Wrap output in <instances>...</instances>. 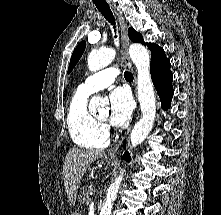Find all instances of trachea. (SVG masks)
Returning a JSON list of instances; mask_svg holds the SVG:
<instances>
[{"label":"trachea","mask_w":221,"mask_h":215,"mask_svg":"<svg viewBox=\"0 0 221 215\" xmlns=\"http://www.w3.org/2000/svg\"><path fill=\"white\" fill-rule=\"evenodd\" d=\"M95 5H96L97 9L101 12V14L104 16V18L109 23H111V25L113 26V28L115 30V28H116L115 18L113 16V13H112L109 5L107 3H104V4L95 3ZM115 38H117L116 35H115ZM124 77H125L126 80H133V74L131 72H128V71H125Z\"/></svg>","instance_id":"trachea-1"}]
</instances>
